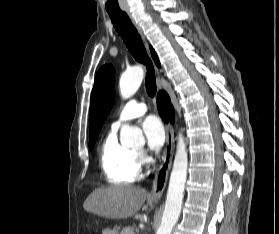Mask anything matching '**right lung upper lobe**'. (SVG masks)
I'll list each match as a JSON object with an SVG mask.
<instances>
[{
    "label": "right lung upper lobe",
    "mask_w": 279,
    "mask_h": 234,
    "mask_svg": "<svg viewBox=\"0 0 279 234\" xmlns=\"http://www.w3.org/2000/svg\"><path fill=\"white\" fill-rule=\"evenodd\" d=\"M150 49H151V54H152V57H153V59H154L156 65H157V66H160V62H159V59H158V57H157L155 51L153 50L152 47H150Z\"/></svg>",
    "instance_id": "right-lung-upper-lobe-1"
}]
</instances>
